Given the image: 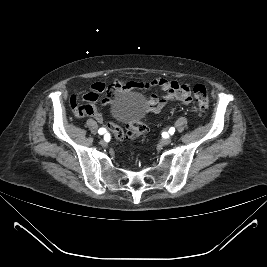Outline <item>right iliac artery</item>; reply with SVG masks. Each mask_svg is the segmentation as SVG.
<instances>
[{
	"label": "right iliac artery",
	"mask_w": 267,
	"mask_h": 267,
	"mask_svg": "<svg viewBox=\"0 0 267 267\" xmlns=\"http://www.w3.org/2000/svg\"><path fill=\"white\" fill-rule=\"evenodd\" d=\"M98 133H99V134H104V133H106V130H105L104 128H100V129L98 130Z\"/></svg>",
	"instance_id": "right-iliac-artery-1"
}]
</instances>
